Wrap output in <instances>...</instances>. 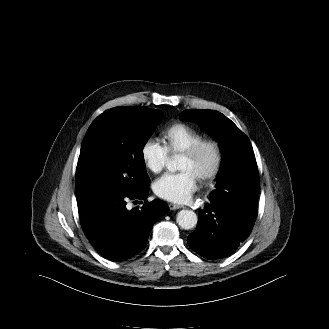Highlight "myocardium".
Wrapping results in <instances>:
<instances>
[{
	"instance_id": "myocardium-1",
	"label": "myocardium",
	"mask_w": 329,
	"mask_h": 329,
	"mask_svg": "<svg viewBox=\"0 0 329 329\" xmlns=\"http://www.w3.org/2000/svg\"><path fill=\"white\" fill-rule=\"evenodd\" d=\"M206 149L212 151L214 161L211 168L199 176L198 179L201 182L211 181L220 173L224 162V154L221 143L213 138H203L181 153L182 156L193 159L197 158Z\"/></svg>"
}]
</instances>
